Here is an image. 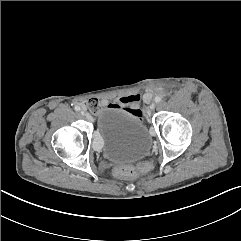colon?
<instances>
[{"label": "colon", "mask_w": 241, "mask_h": 241, "mask_svg": "<svg viewBox=\"0 0 241 241\" xmlns=\"http://www.w3.org/2000/svg\"><path fill=\"white\" fill-rule=\"evenodd\" d=\"M86 108L90 112L96 113L100 108V103L96 99H91L87 102ZM115 172L118 176L125 177V178H134L139 173L138 169L130 165H125L120 168H117Z\"/></svg>", "instance_id": "colon-1"}]
</instances>
